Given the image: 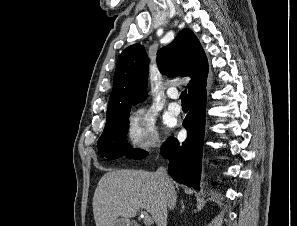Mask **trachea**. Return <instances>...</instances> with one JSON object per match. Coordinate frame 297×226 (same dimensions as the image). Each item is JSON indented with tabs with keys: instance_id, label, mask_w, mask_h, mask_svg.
Here are the masks:
<instances>
[{
	"instance_id": "obj_1",
	"label": "trachea",
	"mask_w": 297,
	"mask_h": 226,
	"mask_svg": "<svg viewBox=\"0 0 297 226\" xmlns=\"http://www.w3.org/2000/svg\"><path fill=\"white\" fill-rule=\"evenodd\" d=\"M180 99L182 101V104H188L187 90L186 89L184 91H182Z\"/></svg>"
}]
</instances>
